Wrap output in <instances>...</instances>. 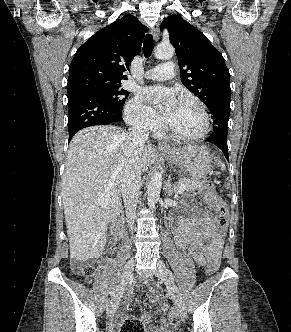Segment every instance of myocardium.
Returning a JSON list of instances; mask_svg holds the SVG:
<instances>
[{"mask_svg": "<svg viewBox=\"0 0 291 332\" xmlns=\"http://www.w3.org/2000/svg\"><path fill=\"white\" fill-rule=\"evenodd\" d=\"M180 101H185V102H191L194 103L201 111L203 120H204V126L203 129L193 135H188V134H182L177 131H175L173 128H171L168 124L165 125V130L170 134L172 137L180 139V140H188V141H193V140H199L204 138L205 136L208 135V133L211 130V116L209 114V111L206 107V105L198 98L194 96H188L184 95L179 98Z\"/></svg>", "mask_w": 291, "mask_h": 332, "instance_id": "1", "label": "myocardium"}]
</instances>
